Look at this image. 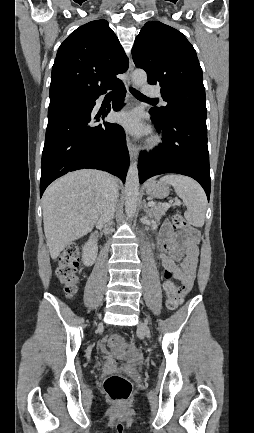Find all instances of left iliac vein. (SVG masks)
<instances>
[{
  "label": "left iliac vein",
  "instance_id": "left-iliac-vein-1",
  "mask_svg": "<svg viewBox=\"0 0 254 433\" xmlns=\"http://www.w3.org/2000/svg\"><path fill=\"white\" fill-rule=\"evenodd\" d=\"M139 327L141 330H143L145 332L147 337L150 336V331H149V328H148L146 323L142 322Z\"/></svg>",
  "mask_w": 254,
  "mask_h": 433
}]
</instances>
